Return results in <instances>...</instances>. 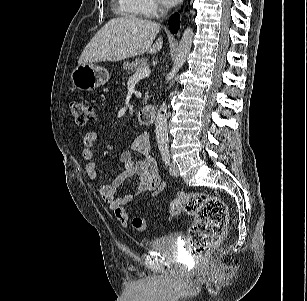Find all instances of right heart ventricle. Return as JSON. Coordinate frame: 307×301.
<instances>
[{
  "label": "right heart ventricle",
  "mask_w": 307,
  "mask_h": 301,
  "mask_svg": "<svg viewBox=\"0 0 307 301\" xmlns=\"http://www.w3.org/2000/svg\"><path fill=\"white\" fill-rule=\"evenodd\" d=\"M115 8L123 15L142 18L141 0H115Z\"/></svg>",
  "instance_id": "1"
}]
</instances>
